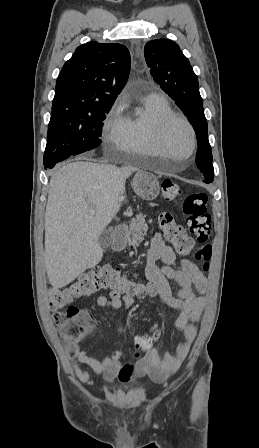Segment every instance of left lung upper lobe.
<instances>
[{
	"instance_id": "left-lung-upper-lobe-1",
	"label": "left lung upper lobe",
	"mask_w": 259,
	"mask_h": 448,
	"mask_svg": "<svg viewBox=\"0 0 259 448\" xmlns=\"http://www.w3.org/2000/svg\"><path fill=\"white\" fill-rule=\"evenodd\" d=\"M144 56L155 82L175 100L196 131L197 161L212 160L207 121L198 87V76L179 46L168 39L146 43Z\"/></svg>"
}]
</instances>
